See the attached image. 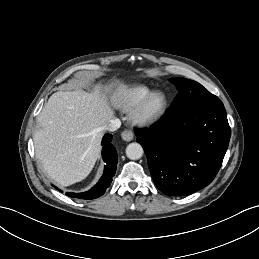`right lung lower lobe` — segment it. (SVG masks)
Masks as SVG:
<instances>
[{
  "instance_id": "98d812e1",
  "label": "right lung lower lobe",
  "mask_w": 259,
  "mask_h": 259,
  "mask_svg": "<svg viewBox=\"0 0 259 259\" xmlns=\"http://www.w3.org/2000/svg\"><path fill=\"white\" fill-rule=\"evenodd\" d=\"M112 140L111 134H105L102 139V157L107 166L104 169V174L100 181L91 190L79 194L67 193L70 197H76L80 199H94L103 195L106 189L112 182V177L116 172V166L118 157L115 148L110 143Z\"/></svg>"
}]
</instances>
